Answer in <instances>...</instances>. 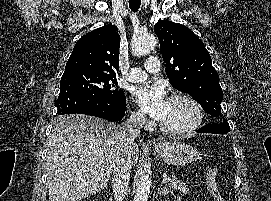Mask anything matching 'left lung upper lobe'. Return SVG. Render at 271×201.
<instances>
[{"instance_id": "5c2ea615", "label": "left lung upper lobe", "mask_w": 271, "mask_h": 201, "mask_svg": "<svg viewBox=\"0 0 271 201\" xmlns=\"http://www.w3.org/2000/svg\"><path fill=\"white\" fill-rule=\"evenodd\" d=\"M154 31L160 42L170 84L194 97L205 112L219 117L223 91L203 42L186 26L168 20H159ZM216 125L223 129L224 134L230 130L225 119Z\"/></svg>"}]
</instances>
